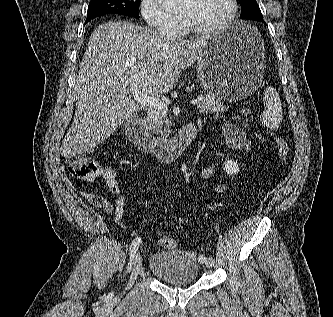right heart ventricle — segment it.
<instances>
[{
	"label": "right heart ventricle",
	"mask_w": 333,
	"mask_h": 317,
	"mask_svg": "<svg viewBox=\"0 0 333 317\" xmlns=\"http://www.w3.org/2000/svg\"><path fill=\"white\" fill-rule=\"evenodd\" d=\"M187 34V30L185 29V27L180 23V27L176 33V35L178 36H185Z\"/></svg>",
	"instance_id": "1"
}]
</instances>
